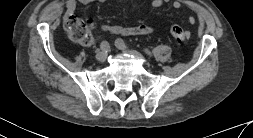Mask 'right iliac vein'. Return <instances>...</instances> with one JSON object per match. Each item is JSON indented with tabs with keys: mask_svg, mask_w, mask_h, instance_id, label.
Masks as SVG:
<instances>
[{
	"mask_svg": "<svg viewBox=\"0 0 253 138\" xmlns=\"http://www.w3.org/2000/svg\"><path fill=\"white\" fill-rule=\"evenodd\" d=\"M106 58H107V53L105 51H101L97 53L96 55V60L100 63L105 62Z\"/></svg>",
	"mask_w": 253,
	"mask_h": 138,
	"instance_id": "obj_1",
	"label": "right iliac vein"
}]
</instances>
